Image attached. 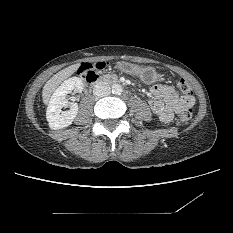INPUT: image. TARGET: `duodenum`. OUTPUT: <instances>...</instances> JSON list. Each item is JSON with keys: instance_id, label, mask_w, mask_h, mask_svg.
<instances>
[{"instance_id": "obj_1", "label": "duodenum", "mask_w": 233, "mask_h": 233, "mask_svg": "<svg viewBox=\"0 0 233 233\" xmlns=\"http://www.w3.org/2000/svg\"><path fill=\"white\" fill-rule=\"evenodd\" d=\"M84 81L90 86H93L99 82H106V83H118L119 82V80L115 77H112V76L100 77L97 74L93 76H89V77L88 76L84 77Z\"/></svg>"}]
</instances>
